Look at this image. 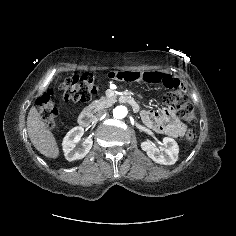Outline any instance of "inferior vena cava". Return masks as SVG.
<instances>
[{"instance_id": "inferior-vena-cava-1", "label": "inferior vena cava", "mask_w": 236, "mask_h": 236, "mask_svg": "<svg viewBox=\"0 0 236 236\" xmlns=\"http://www.w3.org/2000/svg\"><path fill=\"white\" fill-rule=\"evenodd\" d=\"M103 114H104V112H99V113L95 114L93 117V120L97 121L100 117H102Z\"/></svg>"}]
</instances>
